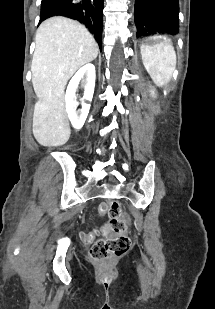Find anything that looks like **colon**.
Segmentation results:
<instances>
[{"label":"colon","mask_w":215,"mask_h":309,"mask_svg":"<svg viewBox=\"0 0 215 309\" xmlns=\"http://www.w3.org/2000/svg\"><path fill=\"white\" fill-rule=\"evenodd\" d=\"M111 227L120 233L125 227V221L121 218L120 210L111 207L110 210ZM129 249V240L126 236L118 235L108 239H100L94 243L91 254L100 261L113 258L114 256L125 253Z\"/></svg>","instance_id":"5ec220e1"}]
</instances>
